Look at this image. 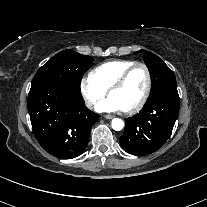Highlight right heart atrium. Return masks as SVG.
Instances as JSON below:
<instances>
[{
  "label": "right heart atrium",
  "instance_id": "right-heart-atrium-1",
  "mask_svg": "<svg viewBox=\"0 0 207 207\" xmlns=\"http://www.w3.org/2000/svg\"><path fill=\"white\" fill-rule=\"evenodd\" d=\"M80 93L88 108L94 109L107 93L90 75L84 77L79 85Z\"/></svg>",
  "mask_w": 207,
  "mask_h": 207
}]
</instances>
